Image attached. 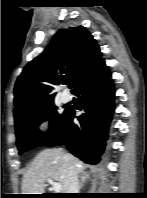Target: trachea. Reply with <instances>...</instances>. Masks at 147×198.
<instances>
[{"label":"trachea","mask_w":147,"mask_h":198,"mask_svg":"<svg viewBox=\"0 0 147 198\" xmlns=\"http://www.w3.org/2000/svg\"><path fill=\"white\" fill-rule=\"evenodd\" d=\"M69 83L68 80H64V84L67 85Z\"/></svg>","instance_id":"1"}]
</instances>
